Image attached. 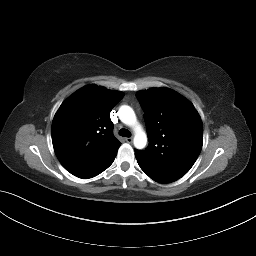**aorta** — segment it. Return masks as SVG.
<instances>
[{
    "instance_id": "762f6f07",
    "label": "aorta",
    "mask_w": 256,
    "mask_h": 256,
    "mask_svg": "<svg viewBox=\"0 0 256 256\" xmlns=\"http://www.w3.org/2000/svg\"><path fill=\"white\" fill-rule=\"evenodd\" d=\"M118 115L120 120L132 127L135 132L134 146L137 149H143L147 144V135L143 131L142 127L138 124L136 115L133 109L129 106L123 105L119 108Z\"/></svg>"
}]
</instances>
